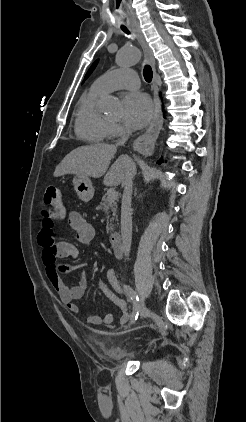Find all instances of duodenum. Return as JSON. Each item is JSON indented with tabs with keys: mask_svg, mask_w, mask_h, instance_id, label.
Returning <instances> with one entry per match:
<instances>
[{
	"mask_svg": "<svg viewBox=\"0 0 246 422\" xmlns=\"http://www.w3.org/2000/svg\"><path fill=\"white\" fill-rule=\"evenodd\" d=\"M110 245L116 257L121 258L123 256V245L120 233L114 232L109 237Z\"/></svg>",
	"mask_w": 246,
	"mask_h": 422,
	"instance_id": "410a0bca",
	"label": "duodenum"
}]
</instances>
